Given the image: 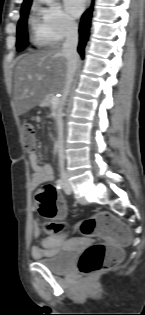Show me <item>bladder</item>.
<instances>
[{"mask_svg": "<svg viewBox=\"0 0 145 315\" xmlns=\"http://www.w3.org/2000/svg\"><path fill=\"white\" fill-rule=\"evenodd\" d=\"M67 249L79 248H65L51 258L41 259L40 262L53 273H64L72 267L75 258V256H67Z\"/></svg>", "mask_w": 145, "mask_h": 315, "instance_id": "31cf9c89", "label": "bladder"}]
</instances>
